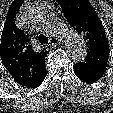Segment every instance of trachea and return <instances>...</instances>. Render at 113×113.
Wrapping results in <instances>:
<instances>
[{
    "instance_id": "3493384b",
    "label": "trachea",
    "mask_w": 113,
    "mask_h": 113,
    "mask_svg": "<svg viewBox=\"0 0 113 113\" xmlns=\"http://www.w3.org/2000/svg\"><path fill=\"white\" fill-rule=\"evenodd\" d=\"M38 40L41 44H47L48 43V38L43 34L39 35Z\"/></svg>"
}]
</instances>
